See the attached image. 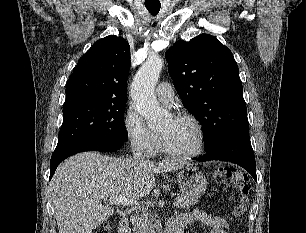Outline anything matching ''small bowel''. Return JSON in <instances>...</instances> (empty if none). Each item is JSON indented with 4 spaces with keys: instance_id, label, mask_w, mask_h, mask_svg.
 Instances as JSON below:
<instances>
[{
    "instance_id": "c3829d8e",
    "label": "small bowel",
    "mask_w": 306,
    "mask_h": 233,
    "mask_svg": "<svg viewBox=\"0 0 306 233\" xmlns=\"http://www.w3.org/2000/svg\"><path fill=\"white\" fill-rule=\"evenodd\" d=\"M197 222L209 226L210 233H228L229 225L224 218L199 210L175 216L170 225H178L182 229L184 227H192Z\"/></svg>"
}]
</instances>
